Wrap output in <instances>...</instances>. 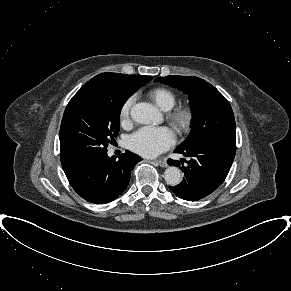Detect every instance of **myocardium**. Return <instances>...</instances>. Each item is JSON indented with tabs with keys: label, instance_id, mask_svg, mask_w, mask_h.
Returning a JSON list of instances; mask_svg holds the SVG:
<instances>
[{
	"label": "myocardium",
	"instance_id": "obj_1",
	"mask_svg": "<svg viewBox=\"0 0 291 291\" xmlns=\"http://www.w3.org/2000/svg\"><path fill=\"white\" fill-rule=\"evenodd\" d=\"M194 119V109L190 105L178 106L167 114V120L180 136L190 132Z\"/></svg>",
	"mask_w": 291,
	"mask_h": 291
}]
</instances>
